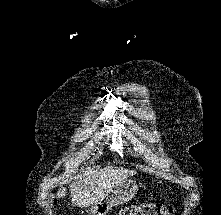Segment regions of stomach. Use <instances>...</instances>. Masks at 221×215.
<instances>
[{"label":"stomach","mask_w":221,"mask_h":215,"mask_svg":"<svg viewBox=\"0 0 221 215\" xmlns=\"http://www.w3.org/2000/svg\"><path fill=\"white\" fill-rule=\"evenodd\" d=\"M138 192V185L131 179L116 184L107 195L89 209V215H106L113 206L122 205L131 200Z\"/></svg>","instance_id":"1"}]
</instances>
